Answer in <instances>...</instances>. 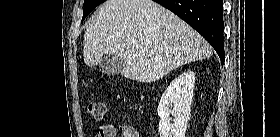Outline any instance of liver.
<instances>
[{"instance_id":"1","label":"liver","mask_w":280,"mask_h":137,"mask_svg":"<svg viewBox=\"0 0 280 137\" xmlns=\"http://www.w3.org/2000/svg\"><path fill=\"white\" fill-rule=\"evenodd\" d=\"M83 46L86 65L113 53L125 60L122 76L143 83L213 52L199 33L152 0L106 1L86 28Z\"/></svg>"}]
</instances>
